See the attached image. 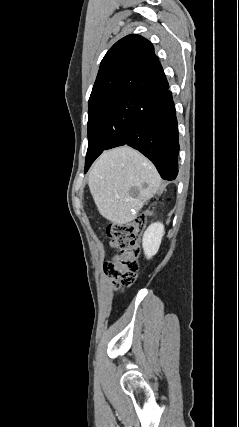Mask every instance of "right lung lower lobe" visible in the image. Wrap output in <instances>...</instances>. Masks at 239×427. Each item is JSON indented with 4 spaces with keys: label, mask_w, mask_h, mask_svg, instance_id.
Listing matches in <instances>:
<instances>
[{
    "label": "right lung lower lobe",
    "mask_w": 239,
    "mask_h": 427,
    "mask_svg": "<svg viewBox=\"0 0 239 427\" xmlns=\"http://www.w3.org/2000/svg\"><path fill=\"white\" fill-rule=\"evenodd\" d=\"M125 144L149 158L163 179L177 177L179 136L169 88L144 98L142 108L132 120L127 139L121 145Z\"/></svg>",
    "instance_id": "98d812e1"
}]
</instances>
